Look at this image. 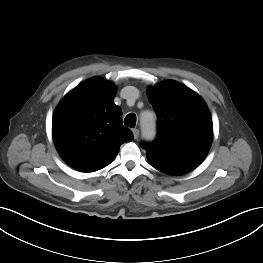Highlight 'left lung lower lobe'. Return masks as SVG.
I'll use <instances>...</instances> for the list:
<instances>
[{
  "mask_svg": "<svg viewBox=\"0 0 263 263\" xmlns=\"http://www.w3.org/2000/svg\"><path fill=\"white\" fill-rule=\"evenodd\" d=\"M146 157L154 168L169 175L185 174L199 165L195 162L166 159L149 152H146Z\"/></svg>",
  "mask_w": 263,
  "mask_h": 263,
  "instance_id": "obj_1",
  "label": "left lung lower lobe"
}]
</instances>
